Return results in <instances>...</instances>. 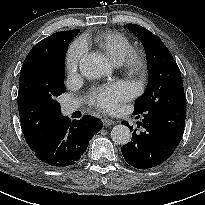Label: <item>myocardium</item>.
I'll return each instance as SVG.
<instances>
[{
	"instance_id": "myocardium-1",
	"label": "myocardium",
	"mask_w": 205,
	"mask_h": 205,
	"mask_svg": "<svg viewBox=\"0 0 205 205\" xmlns=\"http://www.w3.org/2000/svg\"><path fill=\"white\" fill-rule=\"evenodd\" d=\"M123 70L135 77H142L147 69V59L140 50L132 49L121 63Z\"/></svg>"
}]
</instances>
